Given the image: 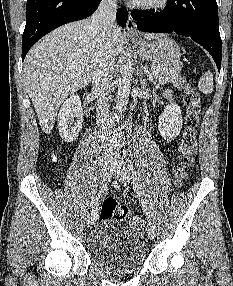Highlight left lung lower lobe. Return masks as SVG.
Here are the masks:
<instances>
[{"mask_svg": "<svg viewBox=\"0 0 233 286\" xmlns=\"http://www.w3.org/2000/svg\"><path fill=\"white\" fill-rule=\"evenodd\" d=\"M143 32L176 33L202 45L221 68L222 42L216 0H168L161 11L131 12Z\"/></svg>", "mask_w": 233, "mask_h": 286, "instance_id": "1", "label": "left lung lower lobe"}]
</instances>
